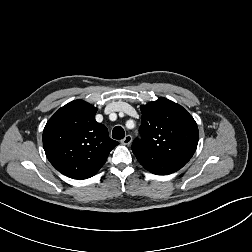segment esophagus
<instances>
[{
    "label": "esophagus",
    "mask_w": 252,
    "mask_h": 252,
    "mask_svg": "<svg viewBox=\"0 0 252 252\" xmlns=\"http://www.w3.org/2000/svg\"><path fill=\"white\" fill-rule=\"evenodd\" d=\"M132 142V136L126 135L125 138L121 141L124 145H129Z\"/></svg>",
    "instance_id": "obj_1"
}]
</instances>
